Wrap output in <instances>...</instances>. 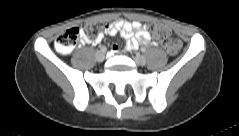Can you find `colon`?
Here are the masks:
<instances>
[{"instance_id": "5ec220e1", "label": "colon", "mask_w": 239, "mask_h": 136, "mask_svg": "<svg viewBox=\"0 0 239 136\" xmlns=\"http://www.w3.org/2000/svg\"><path fill=\"white\" fill-rule=\"evenodd\" d=\"M153 30L159 38L162 46L170 55H176L181 49L179 40L169 36L168 29L162 24L153 25ZM106 30V26L100 22H86L81 28L74 27L60 34L55 41V48L62 54L71 52L78 44L82 35L89 39H96Z\"/></svg>"}]
</instances>
